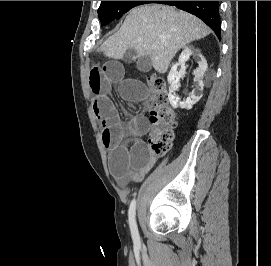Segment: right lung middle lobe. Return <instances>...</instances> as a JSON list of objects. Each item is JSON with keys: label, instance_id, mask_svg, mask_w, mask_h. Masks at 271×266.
<instances>
[{"label": "right lung middle lobe", "instance_id": "dd1d6c3e", "mask_svg": "<svg viewBox=\"0 0 271 266\" xmlns=\"http://www.w3.org/2000/svg\"><path fill=\"white\" fill-rule=\"evenodd\" d=\"M152 1H101L98 16L101 26H104L128 12L135 6L151 3Z\"/></svg>", "mask_w": 271, "mask_h": 266}]
</instances>
